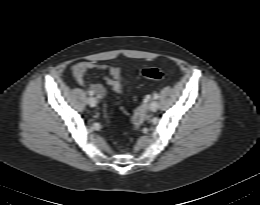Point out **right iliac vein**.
Returning a JSON list of instances; mask_svg holds the SVG:
<instances>
[{"instance_id":"63e3f726","label":"right iliac vein","mask_w":260,"mask_h":205,"mask_svg":"<svg viewBox=\"0 0 260 205\" xmlns=\"http://www.w3.org/2000/svg\"><path fill=\"white\" fill-rule=\"evenodd\" d=\"M87 102L91 107H95L97 105V100L92 96L88 98Z\"/></svg>"}]
</instances>
